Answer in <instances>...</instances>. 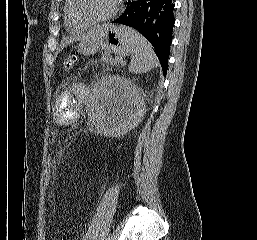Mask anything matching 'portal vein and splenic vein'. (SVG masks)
Returning <instances> with one entry per match:
<instances>
[{
  "mask_svg": "<svg viewBox=\"0 0 257 240\" xmlns=\"http://www.w3.org/2000/svg\"><path fill=\"white\" fill-rule=\"evenodd\" d=\"M117 60H118V61H121V58L118 57Z\"/></svg>",
  "mask_w": 257,
  "mask_h": 240,
  "instance_id": "portal-vein-and-splenic-vein-1",
  "label": "portal vein and splenic vein"
}]
</instances>
